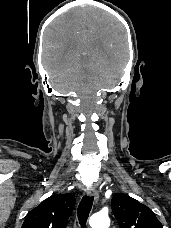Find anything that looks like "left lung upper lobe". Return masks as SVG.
Wrapping results in <instances>:
<instances>
[{
  "instance_id": "1",
  "label": "left lung upper lobe",
  "mask_w": 171,
  "mask_h": 228,
  "mask_svg": "<svg viewBox=\"0 0 171 228\" xmlns=\"http://www.w3.org/2000/svg\"><path fill=\"white\" fill-rule=\"evenodd\" d=\"M111 204L119 228H163L149 207L127 195L115 194Z\"/></svg>"
}]
</instances>
